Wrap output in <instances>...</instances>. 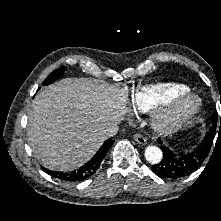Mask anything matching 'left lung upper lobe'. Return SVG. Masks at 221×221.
I'll return each mask as SVG.
<instances>
[{
    "label": "left lung upper lobe",
    "mask_w": 221,
    "mask_h": 221,
    "mask_svg": "<svg viewBox=\"0 0 221 221\" xmlns=\"http://www.w3.org/2000/svg\"><path fill=\"white\" fill-rule=\"evenodd\" d=\"M218 124H219V121H218L217 112H216V113H214V116H213L211 132L206 134L199 149H201V150L207 149V152H208V150L210 152L211 146L213 144V139H214L215 133H216V127H218ZM219 129H221V117H220ZM205 156H206V154H205Z\"/></svg>",
    "instance_id": "1"
}]
</instances>
